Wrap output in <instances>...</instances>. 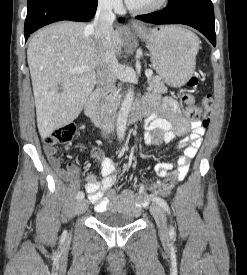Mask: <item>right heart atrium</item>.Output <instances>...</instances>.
<instances>
[{
	"mask_svg": "<svg viewBox=\"0 0 247 275\" xmlns=\"http://www.w3.org/2000/svg\"><path fill=\"white\" fill-rule=\"evenodd\" d=\"M98 4L106 9L112 11H118L122 8V0H97Z\"/></svg>",
	"mask_w": 247,
	"mask_h": 275,
	"instance_id": "1",
	"label": "right heart atrium"
}]
</instances>
